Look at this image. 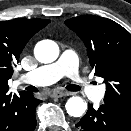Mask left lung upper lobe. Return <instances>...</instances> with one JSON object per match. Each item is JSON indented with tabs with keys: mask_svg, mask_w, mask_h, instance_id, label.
I'll list each match as a JSON object with an SVG mask.
<instances>
[{
	"mask_svg": "<svg viewBox=\"0 0 131 131\" xmlns=\"http://www.w3.org/2000/svg\"><path fill=\"white\" fill-rule=\"evenodd\" d=\"M65 24L83 40L95 75L106 81L104 104L131 118V34L94 15L74 17Z\"/></svg>",
	"mask_w": 131,
	"mask_h": 131,
	"instance_id": "5c2ea615",
	"label": "left lung upper lobe"
}]
</instances>
